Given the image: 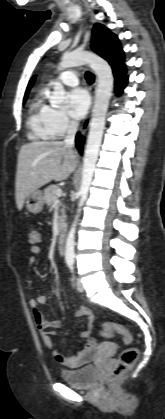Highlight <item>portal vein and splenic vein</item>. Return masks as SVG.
Listing matches in <instances>:
<instances>
[{
    "mask_svg": "<svg viewBox=\"0 0 165 419\" xmlns=\"http://www.w3.org/2000/svg\"><path fill=\"white\" fill-rule=\"evenodd\" d=\"M56 195H57V197H60L62 195V190L61 189H58L56 191Z\"/></svg>",
    "mask_w": 165,
    "mask_h": 419,
    "instance_id": "portal-vein-and-splenic-vein-1",
    "label": "portal vein and splenic vein"
}]
</instances>
